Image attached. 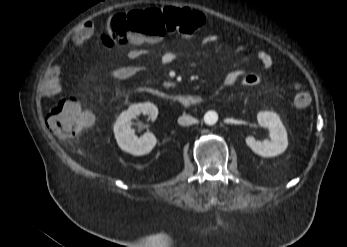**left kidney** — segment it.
<instances>
[{"mask_svg": "<svg viewBox=\"0 0 347 247\" xmlns=\"http://www.w3.org/2000/svg\"><path fill=\"white\" fill-rule=\"evenodd\" d=\"M257 121L261 127L269 128L271 141H256L254 137L248 136L246 144L262 157H274L283 153L288 146V137L279 116L274 112H259Z\"/></svg>", "mask_w": 347, "mask_h": 247, "instance_id": "5707ae66", "label": "left kidney"}]
</instances>
